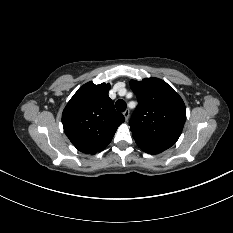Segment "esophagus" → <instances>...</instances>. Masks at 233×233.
I'll use <instances>...</instances> for the list:
<instances>
[{"mask_svg":"<svg viewBox=\"0 0 233 233\" xmlns=\"http://www.w3.org/2000/svg\"><path fill=\"white\" fill-rule=\"evenodd\" d=\"M123 115H124V117H125V119H126V121L129 119V116H130V111L127 109V110H125L124 112H123Z\"/></svg>","mask_w":233,"mask_h":233,"instance_id":"34e87169","label":"esophagus"}]
</instances>
